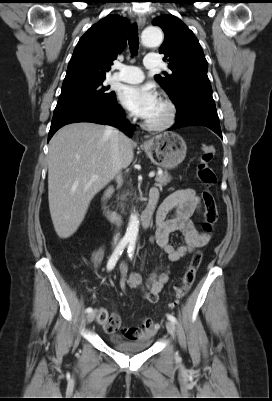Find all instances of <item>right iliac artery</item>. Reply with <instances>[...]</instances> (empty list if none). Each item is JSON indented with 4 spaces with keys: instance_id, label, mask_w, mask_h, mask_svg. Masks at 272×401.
Here are the masks:
<instances>
[{
    "instance_id": "right-iliac-artery-1",
    "label": "right iliac artery",
    "mask_w": 272,
    "mask_h": 401,
    "mask_svg": "<svg viewBox=\"0 0 272 401\" xmlns=\"http://www.w3.org/2000/svg\"><path fill=\"white\" fill-rule=\"evenodd\" d=\"M129 241L130 240L127 239V238H123L120 241V243L116 247L115 251L113 252V254L111 255V257H110V259H109V261L107 263V270L108 271L112 270L115 267L120 255L122 254L123 250L125 249V247L127 246ZM92 311H93V309L91 307H88L86 309L87 313H91Z\"/></svg>"
}]
</instances>
